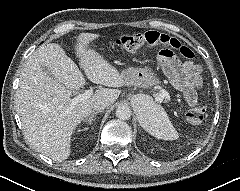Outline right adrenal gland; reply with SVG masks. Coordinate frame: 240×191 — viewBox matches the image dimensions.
<instances>
[{"instance_id":"obj_1","label":"right adrenal gland","mask_w":240,"mask_h":191,"mask_svg":"<svg viewBox=\"0 0 240 191\" xmlns=\"http://www.w3.org/2000/svg\"><path fill=\"white\" fill-rule=\"evenodd\" d=\"M98 113H99V111L92 112V114H91L89 117H87V118L84 119V122H86V123H88L89 125H91L92 122L94 121L95 116H96ZM87 129H88V128H85V130H87Z\"/></svg>"}]
</instances>
